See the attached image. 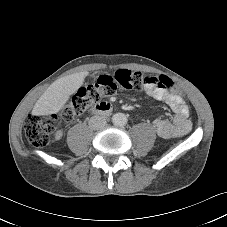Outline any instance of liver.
Returning <instances> with one entry per match:
<instances>
[{
    "label": "liver",
    "mask_w": 227,
    "mask_h": 227,
    "mask_svg": "<svg viewBox=\"0 0 227 227\" xmlns=\"http://www.w3.org/2000/svg\"><path fill=\"white\" fill-rule=\"evenodd\" d=\"M89 74L87 71L74 73L54 81L35 103L32 114L51 115L59 112Z\"/></svg>",
    "instance_id": "6515ba94"
}]
</instances>
